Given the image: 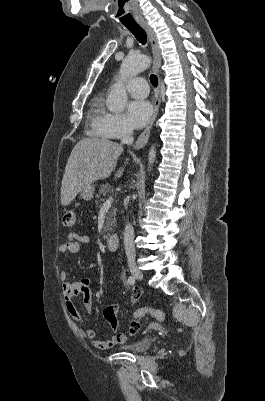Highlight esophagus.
Here are the masks:
<instances>
[{"instance_id":"esophagus-1","label":"esophagus","mask_w":265,"mask_h":401,"mask_svg":"<svg viewBox=\"0 0 265 401\" xmlns=\"http://www.w3.org/2000/svg\"><path fill=\"white\" fill-rule=\"evenodd\" d=\"M139 25L145 30L146 34L148 35L150 45H151V50H152V56H153V64H152V70L157 75L158 77V86L155 90V101H154V109L152 116L146 126V128L143 130L141 135L137 138L134 148L139 150L143 148L148 141L150 131L152 128V125L157 117L159 106H160V99H161V93H160V88H161V80H160V67H161V50L159 47L158 39L156 34L154 33V30L150 27V25L145 21V20H138Z\"/></svg>"}]
</instances>
